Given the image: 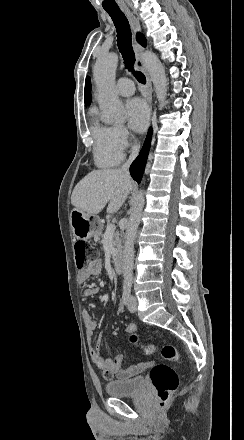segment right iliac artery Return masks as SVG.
<instances>
[{
  "instance_id": "82829eb1",
  "label": "right iliac artery",
  "mask_w": 244,
  "mask_h": 440,
  "mask_svg": "<svg viewBox=\"0 0 244 440\" xmlns=\"http://www.w3.org/2000/svg\"><path fill=\"white\" fill-rule=\"evenodd\" d=\"M131 289L129 287H124L122 294V303L127 305L130 299Z\"/></svg>"
}]
</instances>
